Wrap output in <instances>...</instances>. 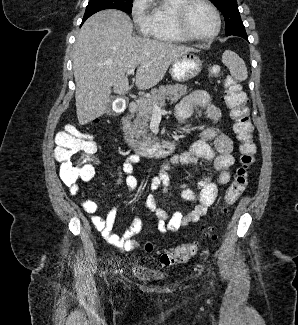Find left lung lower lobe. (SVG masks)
Wrapping results in <instances>:
<instances>
[{
    "label": "left lung lower lobe",
    "instance_id": "0a47b994",
    "mask_svg": "<svg viewBox=\"0 0 298 325\" xmlns=\"http://www.w3.org/2000/svg\"><path fill=\"white\" fill-rule=\"evenodd\" d=\"M233 35L235 36H240L242 38H244L245 40H248V36L246 34V31H238V32H235Z\"/></svg>",
    "mask_w": 298,
    "mask_h": 325
}]
</instances>
